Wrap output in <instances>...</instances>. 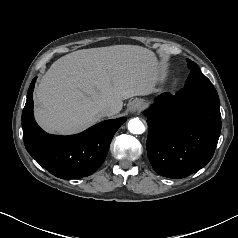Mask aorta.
Masks as SVG:
<instances>
[{
    "instance_id": "762f6f07",
    "label": "aorta",
    "mask_w": 238,
    "mask_h": 238,
    "mask_svg": "<svg viewBox=\"0 0 238 238\" xmlns=\"http://www.w3.org/2000/svg\"><path fill=\"white\" fill-rule=\"evenodd\" d=\"M128 130L132 134H142L145 132V126L139 118H133L128 122Z\"/></svg>"
}]
</instances>
